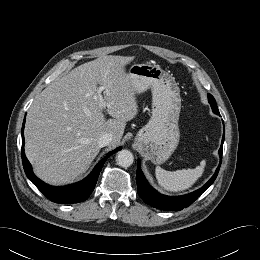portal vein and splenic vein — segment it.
Instances as JSON below:
<instances>
[{
    "instance_id": "obj_1",
    "label": "portal vein and splenic vein",
    "mask_w": 260,
    "mask_h": 260,
    "mask_svg": "<svg viewBox=\"0 0 260 260\" xmlns=\"http://www.w3.org/2000/svg\"><path fill=\"white\" fill-rule=\"evenodd\" d=\"M105 89V87L101 86L98 89V98H99V106L100 108H105L107 106L106 102H104L103 96L101 95V92Z\"/></svg>"
}]
</instances>
